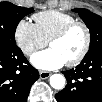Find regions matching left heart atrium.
<instances>
[{
    "label": "left heart atrium",
    "mask_w": 102,
    "mask_h": 102,
    "mask_svg": "<svg viewBox=\"0 0 102 102\" xmlns=\"http://www.w3.org/2000/svg\"><path fill=\"white\" fill-rule=\"evenodd\" d=\"M31 62L42 71L56 70L65 64V61L51 48L35 53Z\"/></svg>",
    "instance_id": "obj_1"
}]
</instances>
